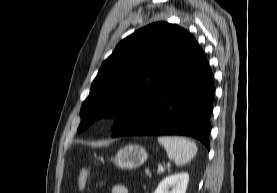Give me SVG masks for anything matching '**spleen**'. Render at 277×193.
<instances>
[{
    "instance_id": "spleen-1",
    "label": "spleen",
    "mask_w": 277,
    "mask_h": 193,
    "mask_svg": "<svg viewBox=\"0 0 277 193\" xmlns=\"http://www.w3.org/2000/svg\"><path fill=\"white\" fill-rule=\"evenodd\" d=\"M158 142L164 146L168 158L178 166L188 163L197 153L196 144L185 137L160 136Z\"/></svg>"
}]
</instances>
